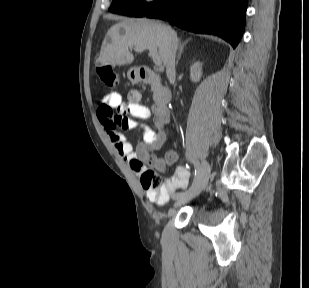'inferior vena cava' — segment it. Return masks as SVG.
Instances as JSON below:
<instances>
[{"label":"inferior vena cava","instance_id":"602c4592","mask_svg":"<svg viewBox=\"0 0 309 288\" xmlns=\"http://www.w3.org/2000/svg\"><path fill=\"white\" fill-rule=\"evenodd\" d=\"M178 40L173 31H170V45L166 58V73L170 83L175 82V55L177 50Z\"/></svg>","mask_w":309,"mask_h":288}]
</instances>
